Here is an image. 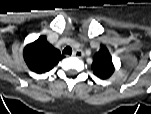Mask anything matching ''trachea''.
I'll use <instances>...</instances> for the list:
<instances>
[{"mask_svg": "<svg viewBox=\"0 0 151 114\" xmlns=\"http://www.w3.org/2000/svg\"><path fill=\"white\" fill-rule=\"evenodd\" d=\"M63 53L69 55L72 54V48L70 46L65 47Z\"/></svg>", "mask_w": 151, "mask_h": 114, "instance_id": "trachea-1", "label": "trachea"}]
</instances>
